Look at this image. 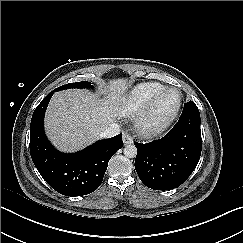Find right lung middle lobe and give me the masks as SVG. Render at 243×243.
Here are the masks:
<instances>
[{
	"instance_id": "1",
	"label": "right lung middle lobe",
	"mask_w": 243,
	"mask_h": 243,
	"mask_svg": "<svg viewBox=\"0 0 243 243\" xmlns=\"http://www.w3.org/2000/svg\"><path fill=\"white\" fill-rule=\"evenodd\" d=\"M70 88H93V86L88 81H82V82L69 83V84L63 85L61 87L56 88L54 91L56 92L59 90H65V89H70Z\"/></svg>"
}]
</instances>
